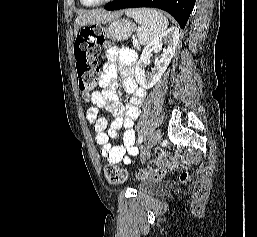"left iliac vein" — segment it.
I'll list each match as a JSON object with an SVG mask.
<instances>
[{
	"mask_svg": "<svg viewBox=\"0 0 257 237\" xmlns=\"http://www.w3.org/2000/svg\"><path fill=\"white\" fill-rule=\"evenodd\" d=\"M161 139V131L160 130H156L155 132H153L149 139L148 142L146 144V147L144 148L143 152H142V156L146 157L147 154L149 153V151L151 150L152 147H154Z\"/></svg>",
	"mask_w": 257,
	"mask_h": 237,
	"instance_id": "left-iliac-vein-1",
	"label": "left iliac vein"
}]
</instances>
